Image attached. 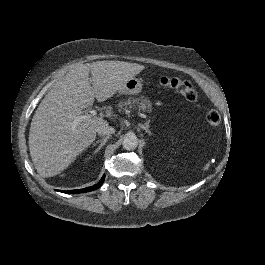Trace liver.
Here are the masks:
<instances>
[{"mask_svg":"<svg viewBox=\"0 0 265 265\" xmlns=\"http://www.w3.org/2000/svg\"><path fill=\"white\" fill-rule=\"evenodd\" d=\"M142 69L124 61L82 64L52 87L36 109L29 130L30 155L40 176H52L66 167L94 140L96 128L108 123L93 117L73 126L80 109L92 105L94 98L103 101L110 97Z\"/></svg>","mask_w":265,"mask_h":265,"instance_id":"6515ba94","label":"liver"}]
</instances>
